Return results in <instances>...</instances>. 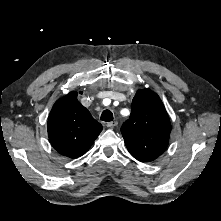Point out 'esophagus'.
Listing matches in <instances>:
<instances>
[{"label": "esophagus", "instance_id": "34e87169", "mask_svg": "<svg viewBox=\"0 0 221 221\" xmlns=\"http://www.w3.org/2000/svg\"><path fill=\"white\" fill-rule=\"evenodd\" d=\"M117 124H118L117 121H111V122L106 123V126L109 128H113V127L117 126Z\"/></svg>", "mask_w": 221, "mask_h": 221}]
</instances>
